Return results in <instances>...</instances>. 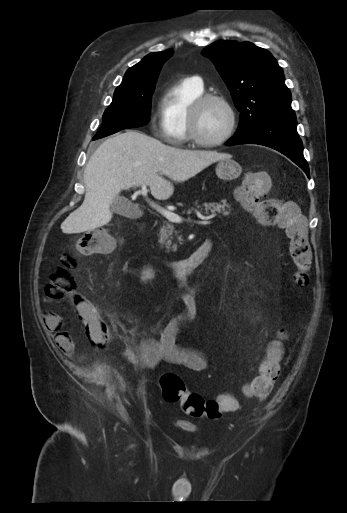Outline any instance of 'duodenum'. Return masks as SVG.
Returning a JSON list of instances; mask_svg holds the SVG:
<instances>
[{
	"label": "duodenum",
	"mask_w": 347,
	"mask_h": 513,
	"mask_svg": "<svg viewBox=\"0 0 347 513\" xmlns=\"http://www.w3.org/2000/svg\"><path fill=\"white\" fill-rule=\"evenodd\" d=\"M212 247V240H204L188 257L179 261L166 263L172 277L178 282H185L195 276V270L205 260Z\"/></svg>",
	"instance_id": "obj_1"
}]
</instances>
